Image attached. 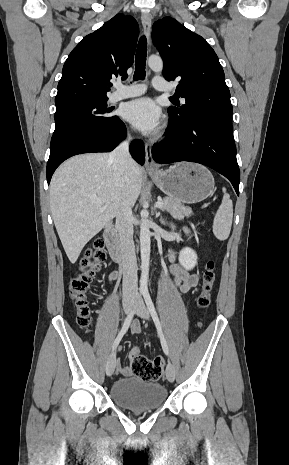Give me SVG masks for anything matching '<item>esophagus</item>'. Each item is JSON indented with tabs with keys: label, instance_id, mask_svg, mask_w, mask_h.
Masks as SVG:
<instances>
[{
	"label": "esophagus",
	"instance_id": "obj_1",
	"mask_svg": "<svg viewBox=\"0 0 289 465\" xmlns=\"http://www.w3.org/2000/svg\"><path fill=\"white\" fill-rule=\"evenodd\" d=\"M142 28L145 36L149 40L151 30V16L149 13H142L141 15ZM145 168L147 171H157L158 167L154 161L152 155V145L149 143L145 144Z\"/></svg>",
	"mask_w": 289,
	"mask_h": 465
}]
</instances>
